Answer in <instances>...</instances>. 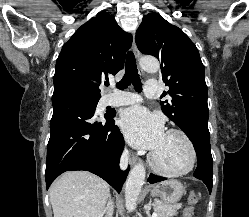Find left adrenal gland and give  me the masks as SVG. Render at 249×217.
<instances>
[{"instance_id": "obj_1", "label": "left adrenal gland", "mask_w": 249, "mask_h": 217, "mask_svg": "<svg viewBox=\"0 0 249 217\" xmlns=\"http://www.w3.org/2000/svg\"><path fill=\"white\" fill-rule=\"evenodd\" d=\"M145 213L147 217H151L150 210H151V201L144 206Z\"/></svg>"}]
</instances>
